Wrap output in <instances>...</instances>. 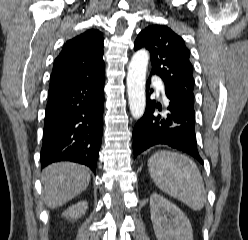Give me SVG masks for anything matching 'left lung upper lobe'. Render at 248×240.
Here are the masks:
<instances>
[{
    "label": "left lung upper lobe",
    "mask_w": 248,
    "mask_h": 240,
    "mask_svg": "<svg viewBox=\"0 0 248 240\" xmlns=\"http://www.w3.org/2000/svg\"><path fill=\"white\" fill-rule=\"evenodd\" d=\"M146 48L151 55V75H158L165 90L178 99L194 102L193 66L184 40L164 25H151L142 30L134 49Z\"/></svg>",
    "instance_id": "5c2ea615"
}]
</instances>
